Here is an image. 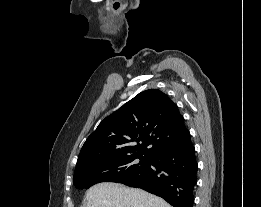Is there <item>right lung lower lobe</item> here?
Returning <instances> with one entry per match:
<instances>
[{"instance_id":"1","label":"right lung lower lobe","mask_w":261,"mask_h":207,"mask_svg":"<svg viewBox=\"0 0 261 207\" xmlns=\"http://www.w3.org/2000/svg\"><path fill=\"white\" fill-rule=\"evenodd\" d=\"M197 168L195 148L189 139L178 147L153 155L145 169L119 183L160 196L173 207H192Z\"/></svg>"}]
</instances>
